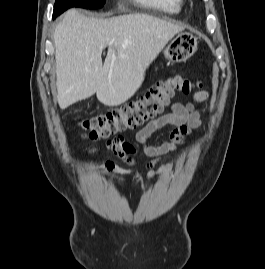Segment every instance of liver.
I'll return each mask as SVG.
<instances>
[{
	"label": "liver",
	"instance_id": "obj_1",
	"mask_svg": "<svg viewBox=\"0 0 265 269\" xmlns=\"http://www.w3.org/2000/svg\"><path fill=\"white\" fill-rule=\"evenodd\" d=\"M183 30V26L143 13L98 19L69 10L54 31L60 108L95 93L106 106L123 104L141 86L145 67Z\"/></svg>",
	"mask_w": 265,
	"mask_h": 269
}]
</instances>
